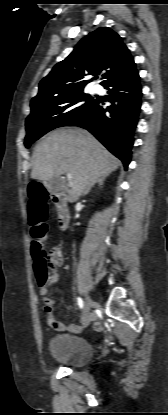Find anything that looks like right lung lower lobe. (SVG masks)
<instances>
[{
  "mask_svg": "<svg viewBox=\"0 0 168 415\" xmlns=\"http://www.w3.org/2000/svg\"><path fill=\"white\" fill-rule=\"evenodd\" d=\"M103 86L109 90L107 101L111 105L104 109V100L97 98L90 110L66 126H78L91 132L127 168L142 96L135 63Z\"/></svg>",
  "mask_w": 168,
  "mask_h": 415,
  "instance_id": "1",
  "label": "right lung lower lobe"
}]
</instances>
